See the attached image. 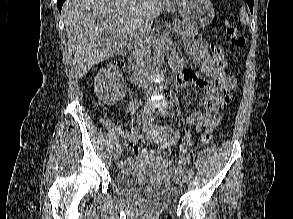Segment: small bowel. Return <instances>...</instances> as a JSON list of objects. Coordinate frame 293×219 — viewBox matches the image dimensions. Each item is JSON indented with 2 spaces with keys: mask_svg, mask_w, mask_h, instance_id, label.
<instances>
[{
  "mask_svg": "<svg viewBox=\"0 0 293 219\" xmlns=\"http://www.w3.org/2000/svg\"><path fill=\"white\" fill-rule=\"evenodd\" d=\"M185 50L193 56L209 77V80H203L188 69L179 72L178 83L181 86H197L203 95L201 107L190 114L186 124L193 126L197 132H200L203 127L215 128L221 120L220 109L230 101V91L237 85L236 79L221 69L210 57L208 46L204 41H188L185 44ZM140 104L139 100H133L126 110L127 114L133 116L139 109ZM167 134L176 142L180 137L179 132L171 131L167 126H153L143 130L139 135L126 134L124 138L125 144L135 154H144L148 145L163 142ZM139 143H142V145H139Z\"/></svg>",
  "mask_w": 293,
  "mask_h": 219,
  "instance_id": "obj_1",
  "label": "small bowel"
}]
</instances>
